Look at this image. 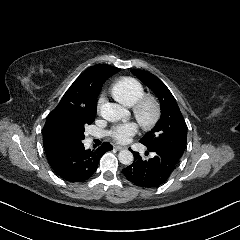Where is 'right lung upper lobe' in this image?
Returning a JSON list of instances; mask_svg holds the SVG:
<instances>
[{
	"label": "right lung upper lobe",
	"mask_w": 240,
	"mask_h": 240,
	"mask_svg": "<svg viewBox=\"0 0 240 240\" xmlns=\"http://www.w3.org/2000/svg\"><path fill=\"white\" fill-rule=\"evenodd\" d=\"M119 69L110 65L98 64L85 70L70 86L57 107L49 114L43 128L44 149L56 147L51 139L52 125L61 114L70 112L95 113L97 97L103 83Z\"/></svg>",
	"instance_id": "right-lung-upper-lobe-1"
}]
</instances>
